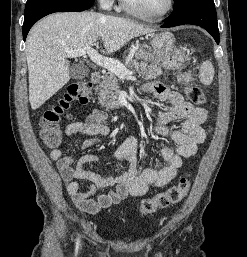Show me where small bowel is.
<instances>
[{
	"instance_id": "obj_1",
	"label": "small bowel",
	"mask_w": 247,
	"mask_h": 257,
	"mask_svg": "<svg viewBox=\"0 0 247 257\" xmlns=\"http://www.w3.org/2000/svg\"><path fill=\"white\" fill-rule=\"evenodd\" d=\"M143 90L153 94L159 101L170 104L167 109L157 113L153 125L154 133L169 137L176 145L175 148L165 146L161 149L165 161L163 168L138 171L135 154L139 140L134 135L128 137L114 152L119 163L127 164V169L117 177L84 169L85 164H98L99 160L93 154H84L75 160L73 155H63L59 149L50 153V159L56 164L67 193L75 205L86 213L96 214L102 208L120 203L127 196H142L151 188L167 185L178 175L183 159L195 155L199 145L206 139L201 127L207 117L205 109L185 101L180 93L170 91L161 83L146 84ZM106 119L104 111L94 110L85 122L69 123L65 128V134L68 137L76 134L89 136L79 145L80 150H85L97 141V136L109 133ZM178 121H182L181 126H174L173 124ZM78 180L90 182L87 191L81 189ZM108 187L115 188L98 195L96 199L92 198L98 189Z\"/></svg>"
}]
</instances>
